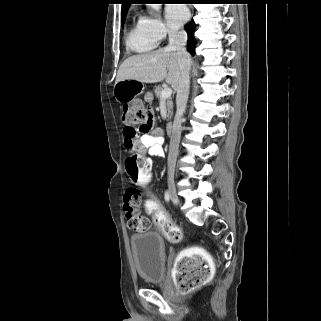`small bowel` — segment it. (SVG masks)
Instances as JSON below:
<instances>
[{
    "label": "small bowel",
    "instance_id": "c3829d8e",
    "mask_svg": "<svg viewBox=\"0 0 321 321\" xmlns=\"http://www.w3.org/2000/svg\"><path fill=\"white\" fill-rule=\"evenodd\" d=\"M146 100L150 101L151 98L147 97ZM163 141L162 130L160 128H155L150 133L140 137L133 136L124 129L123 145L128 152L137 154L149 153L154 156H162Z\"/></svg>",
    "mask_w": 321,
    "mask_h": 321
}]
</instances>
